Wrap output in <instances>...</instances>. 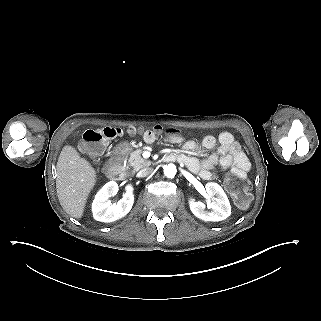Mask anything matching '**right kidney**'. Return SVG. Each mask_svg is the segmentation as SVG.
I'll list each match as a JSON object with an SVG mask.
<instances>
[{"label": "right kidney", "instance_id": "obj_1", "mask_svg": "<svg viewBox=\"0 0 321 321\" xmlns=\"http://www.w3.org/2000/svg\"><path fill=\"white\" fill-rule=\"evenodd\" d=\"M124 190L123 198L117 204H113L108 197L118 193V184L115 181L105 184L92 204L94 218L101 222H113L126 216L134 205V186L127 184Z\"/></svg>", "mask_w": 321, "mask_h": 321}]
</instances>
